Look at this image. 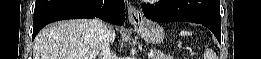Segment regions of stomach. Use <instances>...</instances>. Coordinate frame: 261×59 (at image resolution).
<instances>
[{
    "label": "stomach",
    "mask_w": 261,
    "mask_h": 59,
    "mask_svg": "<svg viewBox=\"0 0 261 59\" xmlns=\"http://www.w3.org/2000/svg\"><path fill=\"white\" fill-rule=\"evenodd\" d=\"M139 35L148 43L159 44L164 40V29L157 23L146 20L135 25Z\"/></svg>",
    "instance_id": "stomach-1"
}]
</instances>
